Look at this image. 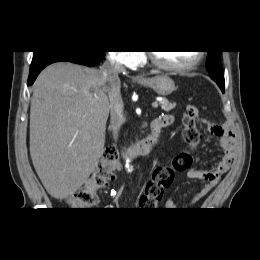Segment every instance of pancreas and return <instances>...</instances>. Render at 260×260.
<instances>
[{"instance_id": "pancreas-1", "label": "pancreas", "mask_w": 260, "mask_h": 260, "mask_svg": "<svg viewBox=\"0 0 260 260\" xmlns=\"http://www.w3.org/2000/svg\"><path fill=\"white\" fill-rule=\"evenodd\" d=\"M160 105H161L162 110L169 112L175 108L176 103H171L167 99L164 98L160 101Z\"/></svg>"}]
</instances>
